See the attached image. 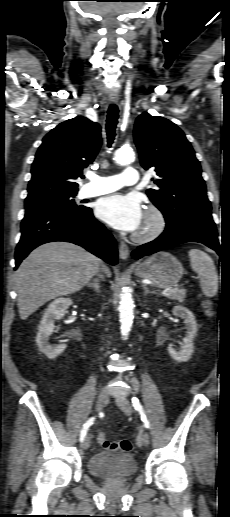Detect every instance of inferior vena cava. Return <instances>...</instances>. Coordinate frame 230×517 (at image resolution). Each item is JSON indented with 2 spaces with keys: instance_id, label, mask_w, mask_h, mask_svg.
Listing matches in <instances>:
<instances>
[{
  "instance_id": "602c4592",
  "label": "inferior vena cava",
  "mask_w": 230,
  "mask_h": 517,
  "mask_svg": "<svg viewBox=\"0 0 230 517\" xmlns=\"http://www.w3.org/2000/svg\"><path fill=\"white\" fill-rule=\"evenodd\" d=\"M99 277L102 278V279L104 278V276L102 274H99Z\"/></svg>"
}]
</instances>
